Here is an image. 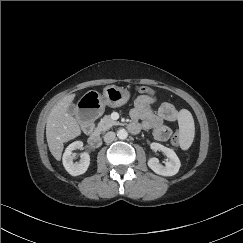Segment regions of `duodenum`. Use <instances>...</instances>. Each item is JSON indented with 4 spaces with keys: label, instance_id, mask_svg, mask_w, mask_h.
Segmentation results:
<instances>
[{
    "label": "duodenum",
    "instance_id": "1",
    "mask_svg": "<svg viewBox=\"0 0 243 243\" xmlns=\"http://www.w3.org/2000/svg\"><path fill=\"white\" fill-rule=\"evenodd\" d=\"M87 127L90 128L91 126L88 125ZM88 143L91 147L97 148L102 144V139L98 133L93 132L88 138Z\"/></svg>",
    "mask_w": 243,
    "mask_h": 243
}]
</instances>
